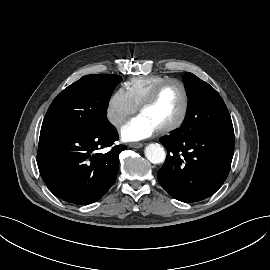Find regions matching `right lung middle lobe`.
<instances>
[{"label":"right lung middle lobe","mask_w":270,"mask_h":270,"mask_svg":"<svg viewBox=\"0 0 270 270\" xmlns=\"http://www.w3.org/2000/svg\"><path fill=\"white\" fill-rule=\"evenodd\" d=\"M121 80L114 74L81 77L53 100L41 130L91 131L106 127L110 124L106 118L110 96Z\"/></svg>","instance_id":"obj_1"}]
</instances>
